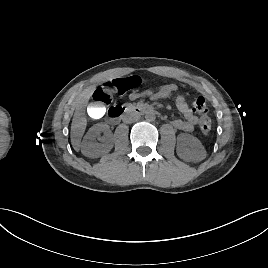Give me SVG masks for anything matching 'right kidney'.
Segmentation results:
<instances>
[{"instance_id": "ca27d5eb", "label": "right kidney", "mask_w": 268, "mask_h": 268, "mask_svg": "<svg viewBox=\"0 0 268 268\" xmlns=\"http://www.w3.org/2000/svg\"><path fill=\"white\" fill-rule=\"evenodd\" d=\"M104 132L101 142L98 143L96 138ZM113 147L112 137L109 126L105 123H98L92 126L83 138L81 143V152L90 158H97L108 153Z\"/></svg>"}]
</instances>
